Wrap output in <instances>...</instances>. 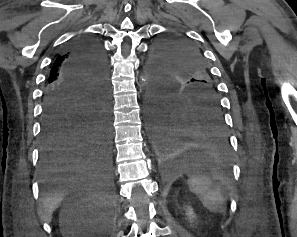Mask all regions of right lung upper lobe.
<instances>
[{
  "label": "right lung upper lobe",
  "instance_id": "obj_1",
  "mask_svg": "<svg viewBox=\"0 0 297 237\" xmlns=\"http://www.w3.org/2000/svg\"><path fill=\"white\" fill-rule=\"evenodd\" d=\"M68 59L69 51L65 52L63 55H58L50 71L48 86L58 84L66 80L65 66Z\"/></svg>",
  "mask_w": 297,
  "mask_h": 237
}]
</instances>
